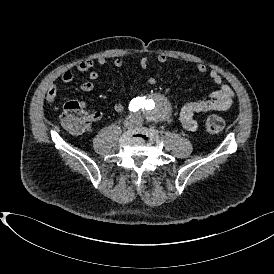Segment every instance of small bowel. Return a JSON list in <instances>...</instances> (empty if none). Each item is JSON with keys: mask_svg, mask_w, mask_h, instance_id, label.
I'll list each match as a JSON object with an SVG mask.
<instances>
[{"mask_svg": "<svg viewBox=\"0 0 274 274\" xmlns=\"http://www.w3.org/2000/svg\"><path fill=\"white\" fill-rule=\"evenodd\" d=\"M150 57L143 56L139 60V65L142 69H147L150 64ZM157 60L161 64H166L169 61V58L166 54H160L157 57ZM106 66L108 64V60L104 57H100L97 60L87 59L80 62L76 70L82 74H88V80L82 82L80 84V89L83 91H92L100 84V75L94 70L95 65ZM126 64L125 60L122 58H116L113 61V65L116 68H122ZM197 72L200 75L208 74L210 81L217 86V89L213 91L208 97L191 101L182 106L179 113V119L181 125L184 129L190 132H195L198 129V121L195 118L196 114H202L210 111H225L230 108L233 98L234 92L229 85L223 82V78L221 75L215 70H208L205 64L197 65ZM74 78V73L70 70L65 71L59 82L62 84L70 83ZM146 83L148 85H156L157 80L154 77H148L146 79ZM57 96V84L52 83L47 92V99L43 103V110L45 112H52L54 109H58V106L55 102ZM114 111L117 113H121L125 110V106L121 103H116L114 105ZM88 122L86 124V131H89L93 125L97 124L103 119V113L99 110H94L89 113Z\"/></svg>", "mask_w": 274, "mask_h": 274, "instance_id": "c3829d8e", "label": "small bowel"}]
</instances>
